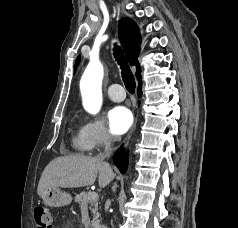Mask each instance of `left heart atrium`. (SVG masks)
I'll return each mask as SVG.
<instances>
[{"label":"left heart atrium","mask_w":238,"mask_h":228,"mask_svg":"<svg viewBox=\"0 0 238 228\" xmlns=\"http://www.w3.org/2000/svg\"><path fill=\"white\" fill-rule=\"evenodd\" d=\"M109 126L112 133L121 135L125 133L133 123V116L129 109L116 106L108 114Z\"/></svg>","instance_id":"obj_1"}]
</instances>
